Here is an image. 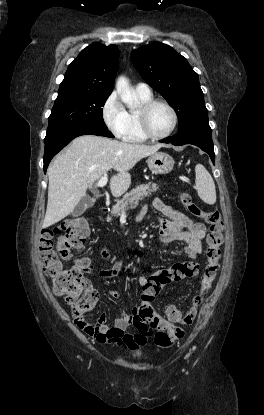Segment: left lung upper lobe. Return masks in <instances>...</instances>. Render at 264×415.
Wrapping results in <instances>:
<instances>
[{
  "label": "left lung upper lobe",
  "instance_id": "left-lung-upper-lobe-1",
  "mask_svg": "<svg viewBox=\"0 0 264 415\" xmlns=\"http://www.w3.org/2000/svg\"><path fill=\"white\" fill-rule=\"evenodd\" d=\"M131 60L142 78L173 106L179 130L208 120L198 74L185 57L166 44L154 42L133 51Z\"/></svg>",
  "mask_w": 264,
  "mask_h": 415
}]
</instances>
